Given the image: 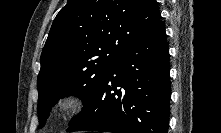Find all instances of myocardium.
<instances>
[{
	"mask_svg": "<svg viewBox=\"0 0 221 133\" xmlns=\"http://www.w3.org/2000/svg\"><path fill=\"white\" fill-rule=\"evenodd\" d=\"M83 106V99L75 93L62 95L56 102L55 111L60 116L70 115Z\"/></svg>",
	"mask_w": 221,
	"mask_h": 133,
	"instance_id": "obj_1",
	"label": "myocardium"
}]
</instances>
